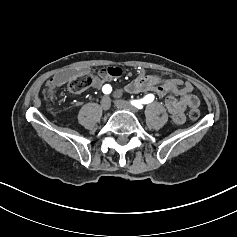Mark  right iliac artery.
Instances as JSON below:
<instances>
[{
    "label": "right iliac artery",
    "mask_w": 237,
    "mask_h": 237,
    "mask_svg": "<svg viewBox=\"0 0 237 237\" xmlns=\"http://www.w3.org/2000/svg\"><path fill=\"white\" fill-rule=\"evenodd\" d=\"M103 93L110 94L112 91V87L109 84H106L102 88Z\"/></svg>",
    "instance_id": "obj_1"
}]
</instances>
